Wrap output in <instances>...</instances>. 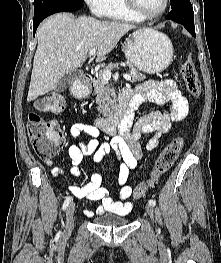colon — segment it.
<instances>
[{
	"mask_svg": "<svg viewBox=\"0 0 221 263\" xmlns=\"http://www.w3.org/2000/svg\"><path fill=\"white\" fill-rule=\"evenodd\" d=\"M181 75L188 93L199 97L201 81L192 59L187 56L181 64ZM34 107L39 112L59 113L66 108V100L61 94L51 93L38 98ZM29 138L33 150L42 160H50L63 143L64 135L55 120L43 119L38 113L31 112L28 117ZM183 147L181 137L172 140L160 153L148 179L134 189V198L146 196L149 188L174 164Z\"/></svg>",
	"mask_w": 221,
	"mask_h": 263,
	"instance_id": "1",
	"label": "colon"
}]
</instances>
